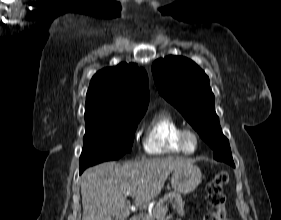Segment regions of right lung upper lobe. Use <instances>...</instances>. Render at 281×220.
<instances>
[{
  "instance_id": "right-lung-upper-lobe-1",
  "label": "right lung upper lobe",
  "mask_w": 281,
  "mask_h": 220,
  "mask_svg": "<svg viewBox=\"0 0 281 220\" xmlns=\"http://www.w3.org/2000/svg\"><path fill=\"white\" fill-rule=\"evenodd\" d=\"M149 102L148 76L134 63L97 72L86 95L85 120L144 115Z\"/></svg>"
}]
</instances>
